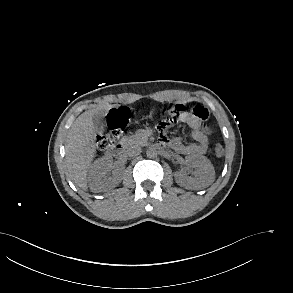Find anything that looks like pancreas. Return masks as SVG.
<instances>
[{
	"mask_svg": "<svg viewBox=\"0 0 293 293\" xmlns=\"http://www.w3.org/2000/svg\"><path fill=\"white\" fill-rule=\"evenodd\" d=\"M124 143L129 146L140 147L148 144V136L146 130L140 129L135 134L124 139Z\"/></svg>",
	"mask_w": 293,
	"mask_h": 293,
	"instance_id": "obj_1",
	"label": "pancreas"
}]
</instances>
